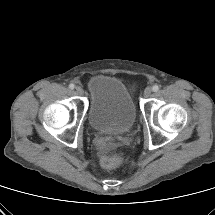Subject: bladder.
I'll return each instance as SVG.
<instances>
[{"instance_id": "1", "label": "bladder", "mask_w": 215, "mask_h": 215, "mask_svg": "<svg viewBox=\"0 0 215 215\" xmlns=\"http://www.w3.org/2000/svg\"><path fill=\"white\" fill-rule=\"evenodd\" d=\"M87 88L91 127L103 134L127 133L136 120V107L126 86L115 77L98 74L89 79Z\"/></svg>"}]
</instances>
